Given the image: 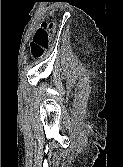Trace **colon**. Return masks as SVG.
<instances>
[{
  "label": "colon",
  "mask_w": 123,
  "mask_h": 167,
  "mask_svg": "<svg viewBox=\"0 0 123 167\" xmlns=\"http://www.w3.org/2000/svg\"><path fill=\"white\" fill-rule=\"evenodd\" d=\"M54 23H44L35 32L30 43V53L33 58H40L44 55L49 45L50 34L54 30Z\"/></svg>",
  "instance_id": "1"
}]
</instances>
